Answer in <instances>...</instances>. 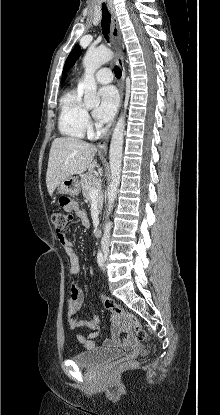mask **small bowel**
<instances>
[{
	"instance_id": "obj_1",
	"label": "small bowel",
	"mask_w": 220,
	"mask_h": 415,
	"mask_svg": "<svg viewBox=\"0 0 220 415\" xmlns=\"http://www.w3.org/2000/svg\"><path fill=\"white\" fill-rule=\"evenodd\" d=\"M65 209L69 212H74L82 221L83 225L89 226L90 220L85 214V212L76 204L71 203L65 206ZM57 239L59 243L63 246L65 254L68 258L69 264V273L73 276H76L80 272V262L79 257L67 235L64 233L57 234ZM83 303V294L76 282H72L69 286V304L67 310V319L70 329L76 330L81 327H87L91 332L85 336L83 334L77 335V340L79 343L84 345L87 349H94L96 347L92 339L100 335L99 327V318L97 316L91 317L89 319L78 320L75 318V314L80 310ZM115 320L118 318L115 317ZM120 327V324H117L113 328V338L111 340H105L103 346L108 348L117 347L123 343L126 344V347L132 344V340L128 339L122 341L118 336L117 332Z\"/></svg>"
}]
</instances>
